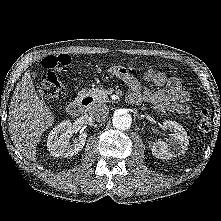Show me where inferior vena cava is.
I'll return each mask as SVG.
<instances>
[{
	"instance_id": "602c4592",
	"label": "inferior vena cava",
	"mask_w": 221,
	"mask_h": 221,
	"mask_svg": "<svg viewBox=\"0 0 221 221\" xmlns=\"http://www.w3.org/2000/svg\"><path fill=\"white\" fill-rule=\"evenodd\" d=\"M89 114L97 122L105 121L109 116V108L106 104H97L90 109Z\"/></svg>"
}]
</instances>
